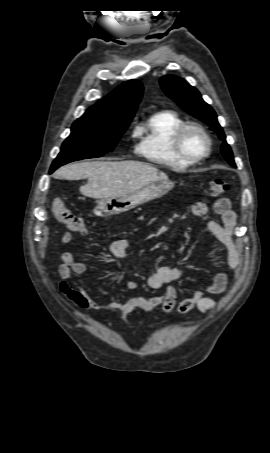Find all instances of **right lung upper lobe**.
Returning <instances> with one entry per match:
<instances>
[{
	"label": "right lung upper lobe",
	"instance_id": "obj_1",
	"mask_svg": "<svg viewBox=\"0 0 270 453\" xmlns=\"http://www.w3.org/2000/svg\"><path fill=\"white\" fill-rule=\"evenodd\" d=\"M142 84L130 80L110 96L90 107L79 119H96L110 124L129 125L141 100Z\"/></svg>",
	"mask_w": 270,
	"mask_h": 453
}]
</instances>
